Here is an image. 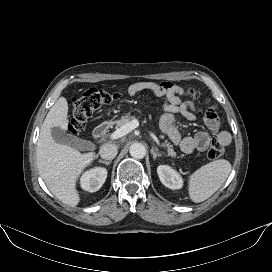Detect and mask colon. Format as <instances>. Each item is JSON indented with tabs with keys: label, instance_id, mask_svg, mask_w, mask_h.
<instances>
[{
	"label": "colon",
	"instance_id": "colon-1",
	"mask_svg": "<svg viewBox=\"0 0 272 272\" xmlns=\"http://www.w3.org/2000/svg\"><path fill=\"white\" fill-rule=\"evenodd\" d=\"M186 95L189 98V103L194 108L197 107L200 113L206 118L216 116L215 106L206 98H203L199 92L194 89H187ZM118 98L117 93H111L105 89L91 88L85 91L82 95L73 99V106L70 120V130L73 133L81 131L88 118L98 109L112 103ZM208 157L211 160H216L224 154L223 145L214 139L208 149Z\"/></svg>",
	"mask_w": 272,
	"mask_h": 272
}]
</instances>
